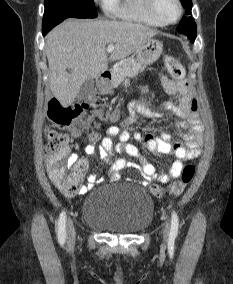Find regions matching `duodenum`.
I'll return each mask as SVG.
<instances>
[{
    "label": "duodenum",
    "instance_id": "obj_1",
    "mask_svg": "<svg viewBox=\"0 0 233 284\" xmlns=\"http://www.w3.org/2000/svg\"><path fill=\"white\" fill-rule=\"evenodd\" d=\"M112 74L110 70H105L101 73L99 82L102 87L106 86L111 80Z\"/></svg>",
    "mask_w": 233,
    "mask_h": 284
}]
</instances>
